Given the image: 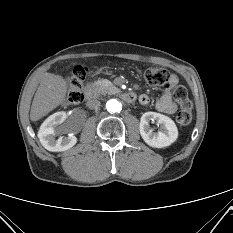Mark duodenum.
Listing matches in <instances>:
<instances>
[{
  "label": "duodenum",
  "instance_id": "1",
  "mask_svg": "<svg viewBox=\"0 0 233 233\" xmlns=\"http://www.w3.org/2000/svg\"><path fill=\"white\" fill-rule=\"evenodd\" d=\"M96 95V91L93 87L88 86L84 89V96L87 100H91ZM122 97L125 101L131 103L136 100V95L133 92H123Z\"/></svg>",
  "mask_w": 233,
  "mask_h": 233
}]
</instances>
